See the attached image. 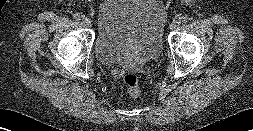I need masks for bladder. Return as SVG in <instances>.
Segmentation results:
<instances>
[{"label": "bladder", "instance_id": "1", "mask_svg": "<svg viewBox=\"0 0 253 131\" xmlns=\"http://www.w3.org/2000/svg\"><path fill=\"white\" fill-rule=\"evenodd\" d=\"M161 0H104L96 7L93 50L103 64L141 63L163 49Z\"/></svg>", "mask_w": 253, "mask_h": 131}]
</instances>
